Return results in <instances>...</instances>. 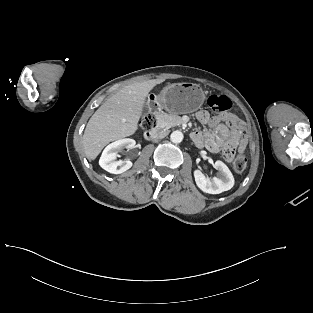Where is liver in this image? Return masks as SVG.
<instances>
[{"mask_svg":"<svg viewBox=\"0 0 313 313\" xmlns=\"http://www.w3.org/2000/svg\"><path fill=\"white\" fill-rule=\"evenodd\" d=\"M163 81L152 79L125 86L96 110L83 135V147L88 160H94L109 142L136 132L145 98Z\"/></svg>","mask_w":313,"mask_h":313,"instance_id":"1","label":"liver"}]
</instances>
